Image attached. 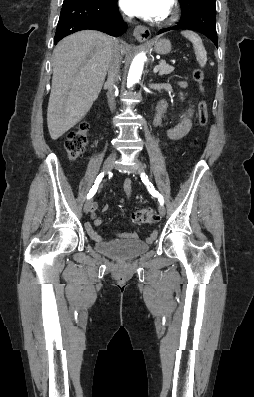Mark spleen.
<instances>
[{
  "label": "spleen",
  "mask_w": 254,
  "mask_h": 397,
  "mask_svg": "<svg viewBox=\"0 0 254 397\" xmlns=\"http://www.w3.org/2000/svg\"><path fill=\"white\" fill-rule=\"evenodd\" d=\"M181 34L193 44L196 59L200 66L204 67L207 62V53L203 46L202 39L195 32L189 30L182 31Z\"/></svg>",
  "instance_id": "3e777b00"
}]
</instances>
